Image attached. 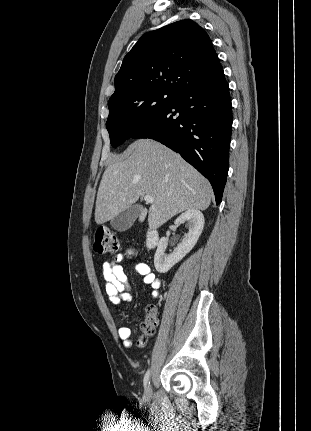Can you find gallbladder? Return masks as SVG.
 Listing matches in <instances>:
<instances>
[{
    "instance_id": "1",
    "label": "gallbladder",
    "mask_w": 311,
    "mask_h": 431,
    "mask_svg": "<svg viewBox=\"0 0 311 431\" xmlns=\"http://www.w3.org/2000/svg\"><path fill=\"white\" fill-rule=\"evenodd\" d=\"M141 210H143V206H131V208H127L124 212H120L118 216L113 217L110 221V225L117 229V231H126L129 229L131 225H133L137 216H139Z\"/></svg>"
}]
</instances>
